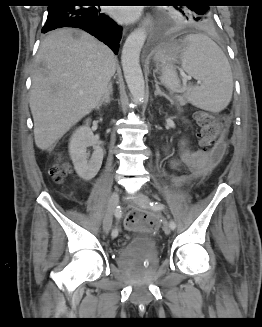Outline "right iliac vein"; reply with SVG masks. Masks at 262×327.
<instances>
[{
	"label": "right iliac vein",
	"mask_w": 262,
	"mask_h": 327,
	"mask_svg": "<svg viewBox=\"0 0 262 327\" xmlns=\"http://www.w3.org/2000/svg\"><path fill=\"white\" fill-rule=\"evenodd\" d=\"M118 203H119V192L115 190L109 198L108 208L105 217L103 219V230L106 233L109 232V230L111 229L113 214Z\"/></svg>",
	"instance_id": "63e3f726"
}]
</instances>
